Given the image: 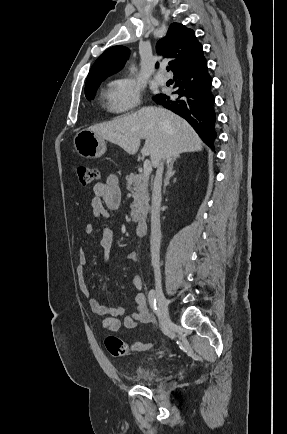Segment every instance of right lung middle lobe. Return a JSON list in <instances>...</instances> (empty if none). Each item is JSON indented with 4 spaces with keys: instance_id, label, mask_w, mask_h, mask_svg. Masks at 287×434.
Wrapping results in <instances>:
<instances>
[{
    "instance_id": "right-lung-middle-lobe-1",
    "label": "right lung middle lobe",
    "mask_w": 287,
    "mask_h": 434,
    "mask_svg": "<svg viewBox=\"0 0 287 434\" xmlns=\"http://www.w3.org/2000/svg\"><path fill=\"white\" fill-rule=\"evenodd\" d=\"M101 81L92 82L85 85V96L88 100H91L95 96V92L98 89Z\"/></svg>"
}]
</instances>
